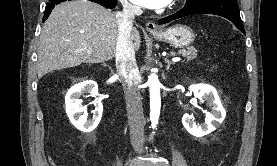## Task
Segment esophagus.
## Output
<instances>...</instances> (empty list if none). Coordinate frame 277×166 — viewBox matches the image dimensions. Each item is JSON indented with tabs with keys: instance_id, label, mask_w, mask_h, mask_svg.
<instances>
[{
	"instance_id": "1",
	"label": "esophagus",
	"mask_w": 277,
	"mask_h": 166,
	"mask_svg": "<svg viewBox=\"0 0 277 166\" xmlns=\"http://www.w3.org/2000/svg\"><path fill=\"white\" fill-rule=\"evenodd\" d=\"M146 29L151 34H156V33H159L161 31V29L154 22H152V21H149L146 24Z\"/></svg>"
}]
</instances>
